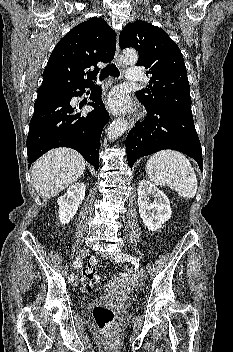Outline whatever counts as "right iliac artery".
<instances>
[{
    "mask_svg": "<svg viewBox=\"0 0 233 352\" xmlns=\"http://www.w3.org/2000/svg\"><path fill=\"white\" fill-rule=\"evenodd\" d=\"M83 264V261L80 257L76 258L75 261L73 262V268L76 269V268H79L81 267ZM69 282L73 283L74 281V275L73 274H70L69 278H68Z\"/></svg>",
    "mask_w": 233,
    "mask_h": 352,
    "instance_id": "obj_1",
    "label": "right iliac artery"
}]
</instances>
